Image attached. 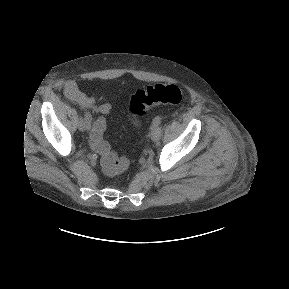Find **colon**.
Returning <instances> with one entry per match:
<instances>
[{"instance_id": "5ec220e1", "label": "colon", "mask_w": 289, "mask_h": 289, "mask_svg": "<svg viewBox=\"0 0 289 289\" xmlns=\"http://www.w3.org/2000/svg\"><path fill=\"white\" fill-rule=\"evenodd\" d=\"M183 99L182 90L174 84H155L137 90L130 97L128 104L129 115L134 122L138 117L153 106L159 104L177 105ZM106 129V120L103 117L96 119L93 125L92 145L100 156V163L103 171L108 175H117L126 171L129 167V160L120 157L114 152L110 145L103 140V133Z\"/></svg>"}]
</instances>
